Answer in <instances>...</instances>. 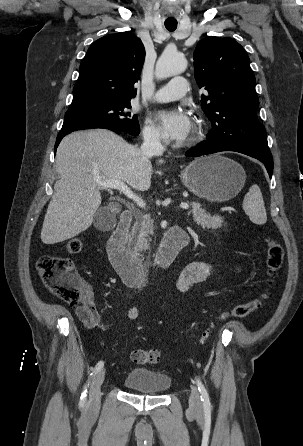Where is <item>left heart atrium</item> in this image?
I'll list each match as a JSON object with an SVG mask.
<instances>
[{
	"instance_id": "left-heart-atrium-1",
	"label": "left heart atrium",
	"mask_w": 303,
	"mask_h": 446,
	"mask_svg": "<svg viewBox=\"0 0 303 446\" xmlns=\"http://www.w3.org/2000/svg\"><path fill=\"white\" fill-rule=\"evenodd\" d=\"M158 120L163 134L171 140L183 141L192 130L191 118L181 109L162 111L158 114Z\"/></svg>"
}]
</instances>
